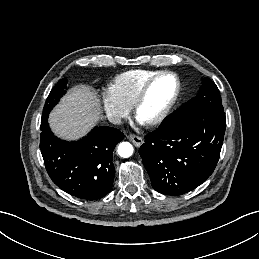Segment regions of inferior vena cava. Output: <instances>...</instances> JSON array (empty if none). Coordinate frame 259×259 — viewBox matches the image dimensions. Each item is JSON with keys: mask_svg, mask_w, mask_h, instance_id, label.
I'll return each mask as SVG.
<instances>
[{"mask_svg": "<svg viewBox=\"0 0 259 259\" xmlns=\"http://www.w3.org/2000/svg\"><path fill=\"white\" fill-rule=\"evenodd\" d=\"M108 119L114 125H120L122 123V119L118 115H111Z\"/></svg>", "mask_w": 259, "mask_h": 259, "instance_id": "1", "label": "inferior vena cava"}]
</instances>
